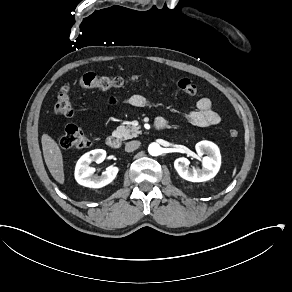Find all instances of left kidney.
Returning <instances> with one entry per match:
<instances>
[{"mask_svg":"<svg viewBox=\"0 0 292 292\" xmlns=\"http://www.w3.org/2000/svg\"><path fill=\"white\" fill-rule=\"evenodd\" d=\"M198 155L207 154L202 159V169H190L189 160L181 157L175 160L174 167L178 174L185 180L191 182H204L213 178L219 171L221 165L220 150L216 144L210 141L198 142L195 146Z\"/></svg>","mask_w":292,"mask_h":292,"instance_id":"left-kidney-1","label":"left kidney"}]
</instances>
